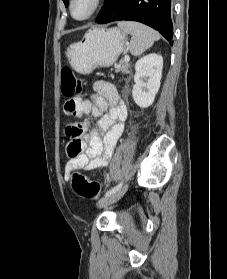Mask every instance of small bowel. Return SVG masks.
Segmentation results:
<instances>
[{
	"instance_id": "c3829d8e",
	"label": "small bowel",
	"mask_w": 227,
	"mask_h": 279,
	"mask_svg": "<svg viewBox=\"0 0 227 279\" xmlns=\"http://www.w3.org/2000/svg\"><path fill=\"white\" fill-rule=\"evenodd\" d=\"M78 104L75 116L91 115L98 120L91 125L88 122L70 125L80 130L76 137L70 138V142L79 143L80 153L67 162L66 180L75 169L91 171L108 165L128 115L117 88L110 82L96 83L90 99H78Z\"/></svg>"
}]
</instances>
